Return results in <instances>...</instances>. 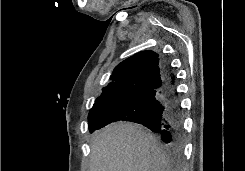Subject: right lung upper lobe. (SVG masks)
Segmentation results:
<instances>
[{
  "label": "right lung upper lobe",
  "instance_id": "right-lung-upper-lobe-1",
  "mask_svg": "<svg viewBox=\"0 0 245 171\" xmlns=\"http://www.w3.org/2000/svg\"><path fill=\"white\" fill-rule=\"evenodd\" d=\"M164 61L151 50L141 51L118 64L110 77V83L96 103L123 97L131 99L139 94L160 89L165 83Z\"/></svg>",
  "mask_w": 245,
  "mask_h": 171
}]
</instances>
